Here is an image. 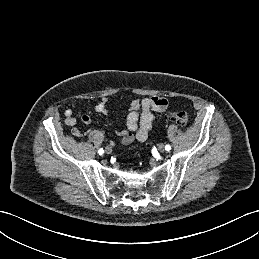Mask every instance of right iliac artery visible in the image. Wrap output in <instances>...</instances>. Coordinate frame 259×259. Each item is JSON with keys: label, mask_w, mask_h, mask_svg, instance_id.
Wrapping results in <instances>:
<instances>
[{"label": "right iliac artery", "mask_w": 259, "mask_h": 259, "mask_svg": "<svg viewBox=\"0 0 259 259\" xmlns=\"http://www.w3.org/2000/svg\"><path fill=\"white\" fill-rule=\"evenodd\" d=\"M98 153H99L100 155H102V154L104 153L103 148L99 149V150H98Z\"/></svg>", "instance_id": "obj_1"}]
</instances>
